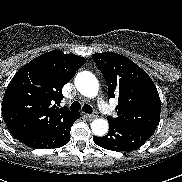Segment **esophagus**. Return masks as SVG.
I'll return each mask as SVG.
<instances>
[{"label": "esophagus", "mask_w": 182, "mask_h": 182, "mask_svg": "<svg viewBox=\"0 0 182 182\" xmlns=\"http://www.w3.org/2000/svg\"><path fill=\"white\" fill-rule=\"evenodd\" d=\"M85 117L87 119H89V120H94L97 117V115H95V114H85Z\"/></svg>", "instance_id": "1"}]
</instances>
